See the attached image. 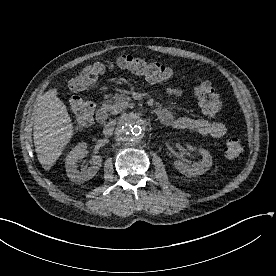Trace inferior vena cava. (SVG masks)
<instances>
[{"mask_svg":"<svg viewBox=\"0 0 276 276\" xmlns=\"http://www.w3.org/2000/svg\"><path fill=\"white\" fill-rule=\"evenodd\" d=\"M115 124H116V123H115L114 121L109 122V123L105 126V128H104V130H103V133H104L105 135H111L112 132H113V129H114Z\"/></svg>","mask_w":276,"mask_h":276,"instance_id":"602c4592","label":"inferior vena cava"}]
</instances>
